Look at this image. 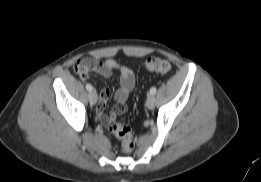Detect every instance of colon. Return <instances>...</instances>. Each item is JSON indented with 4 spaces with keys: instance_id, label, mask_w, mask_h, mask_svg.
I'll return each instance as SVG.
<instances>
[{
    "instance_id": "5ec220e1",
    "label": "colon",
    "mask_w": 261,
    "mask_h": 182,
    "mask_svg": "<svg viewBox=\"0 0 261 182\" xmlns=\"http://www.w3.org/2000/svg\"><path fill=\"white\" fill-rule=\"evenodd\" d=\"M145 68L151 72L168 73L172 66L171 63L163 58H149L145 61ZM74 71L79 76H86L89 74L88 66L84 61H78L74 65ZM109 131L120 140L121 150L125 153H131L135 147V140L131 129L123 125L115 119L109 123Z\"/></svg>"
}]
</instances>
